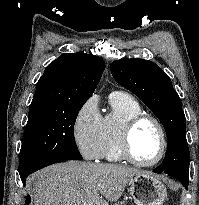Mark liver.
I'll return each instance as SVG.
<instances>
[{
    "instance_id": "obj_1",
    "label": "liver",
    "mask_w": 199,
    "mask_h": 205,
    "mask_svg": "<svg viewBox=\"0 0 199 205\" xmlns=\"http://www.w3.org/2000/svg\"><path fill=\"white\" fill-rule=\"evenodd\" d=\"M141 173L118 164L68 161L33 174L27 184L30 187L33 183L35 205H108V201H117L128 182Z\"/></svg>"
}]
</instances>
